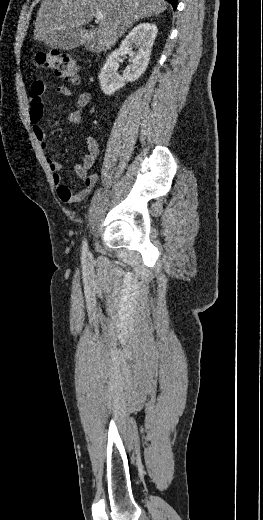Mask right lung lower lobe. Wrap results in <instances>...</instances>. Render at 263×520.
<instances>
[{"mask_svg":"<svg viewBox=\"0 0 263 520\" xmlns=\"http://www.w3.org/2000/svg\"><path fill=\"white\" fill-rule=\"evenodd\" d=\"M168 2H170L173 6V9L176 10V7H177V1L178 0H167Z\"/></svg>","mask_w":263,"mask_h":520,"instance_id":"obj_1","label":"right lung lower lobe"}]
</instances>
